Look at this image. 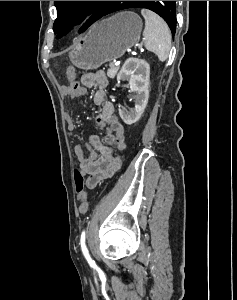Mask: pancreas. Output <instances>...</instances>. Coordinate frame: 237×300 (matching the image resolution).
<instances>
[{"label": "pancreas", "mask_w": 237, "mask_h": 300, "mask_svg": "<svg viewBox=\"0 0 237 300\" xmlns=\"http://www.w3.org/2000/svg\"><path fill=\"white\" fill-rule=\"evenodd\" d=\"M117 71H119V67H114L113 69H108V77L109 79H114L115 75H117Z\"/></svg>", "instance_id": "1"}]
</instances>
